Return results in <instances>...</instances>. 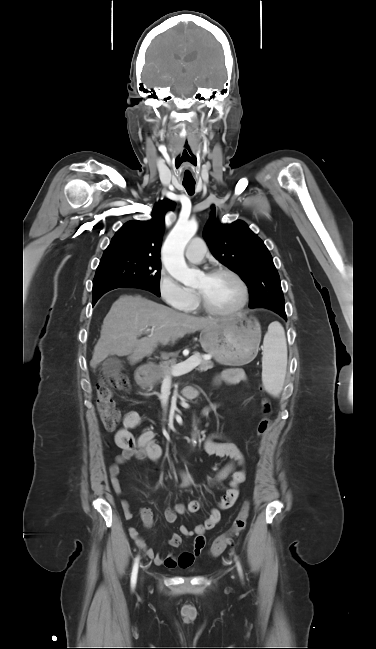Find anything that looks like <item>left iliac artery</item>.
Returning <instances> with one entry per match:
<instances>
[{"label": "left iliac artery", "mask_w": 376, "mask_h": 649, "mask_svg": "<svg viewBox=\"0 0 376 649\" xmlns=\"http://www.w3.org/2000/svg\"><path fill=\"white\" fill-rule=\"evenodd\" d=\"M237 568H238V571H239L240 575L242 576V569H241L240 563L238 561H237Z\"/></svg>", "instance_id": "44dca946"}]
</instances>
